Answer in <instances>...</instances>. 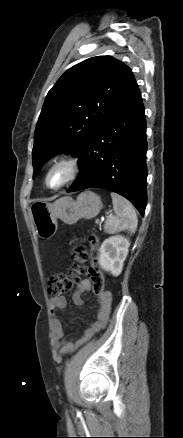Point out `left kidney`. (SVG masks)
Masks as SVG:
<instances>
[{
	"label": "left kidney",
	"instance_id": "1",
	"mask_svg": "<svg viewBox=\"0 0 183 438\" xmlns=\"http://www.w3.org/2000/svg\"><path fill=\"white\" fill-rule=\"evenodd\" d=\"M129 246L130 241L122 235H115L105 239L100 247V266L113 276L120 275L128 255Z\"/></svg>",
	"mask_w": 183,
	"mask_h": 438
}]
</instances>
